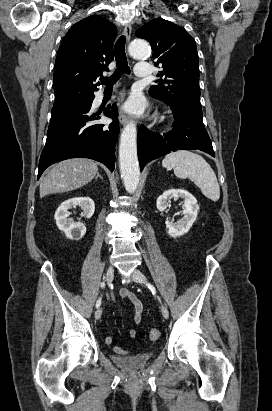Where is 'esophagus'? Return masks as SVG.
<instances>
[{
	"mask_svg": "<svg viewBox=\"0 0 272 411\" xmlns=\"http://www.w3.org/2000/svg\"><path fill=\"white\" fill-rule=\"evenodd\" d=\"M131 33H132V27H131V24L128 23L124 27V35L127 41H130ZM119 122L122 125L126 124L128 122V116L121 112L119 115Z\"/></svg>",
	"mask_w": 272,
	"mask_h": 411,
	"instance_id": "34e87169",
	"label": "esophagus"
}]
</instances>
